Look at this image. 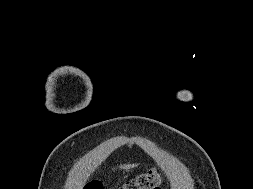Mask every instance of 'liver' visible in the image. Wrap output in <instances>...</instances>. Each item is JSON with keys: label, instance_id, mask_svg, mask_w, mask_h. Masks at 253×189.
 Masks as SVG:
<instances>
[{"label": "liver", "instance_id": "obj_1", "mask_svg": "<svg viewBox=\"0 0 253 189\" xmlns=\"http://www.w3.org/2000/svg\"><path fill=\"white\" fill-rule=\"evenodd\" d=\"M134 165H124V166H121V168H130V167H133Z\"/></svg>", "mask_w": 253, "mask_h": 189}]
</instances>
